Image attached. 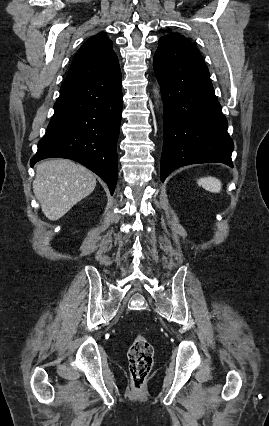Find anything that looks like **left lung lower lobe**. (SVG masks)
Here are the masks:
<instances>
[{
	"label": "left lung lower lobe",
	"mask_w": 269,
	"mask_h": 426,
	"mask_svg": "<svg viewBox=\"0 0 269 426\" xmlns=\"http://www.w3.org/2000/svg\"><path fill=\"white\" fill-rule=\"evenodd\" d=\"M153 68L164 102L160 176L176 168L219 162L233 167L227 119L215 96L208 68L190 41L159 39Z\"/></svg>",
	"instance_id": "0a47b994"
}]
</instances>
